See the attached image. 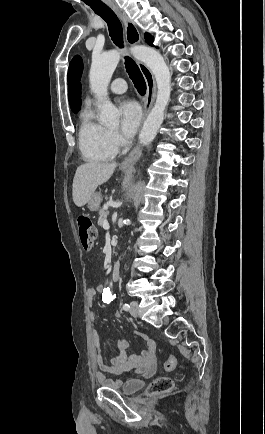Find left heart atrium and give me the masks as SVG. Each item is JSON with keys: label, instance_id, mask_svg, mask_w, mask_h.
Listing matches in <instances>:
<instances>
[{"label": "left heart atrium", "instance_id": "left-heart-atrium-1", "mask_svg": "<svg viewBox=\"0 0 265 434\" xmlns=\"http://www.w3.org/2000/svg\"><path fill=\"white\" fill-rule=\"evenodd\" d=\"M120 129L126 137H132L140 124L142 110L138 102L126 100L120 104Z\"/></svg>", "mask_w": 265, "mask_h": 434}]
</instances>
